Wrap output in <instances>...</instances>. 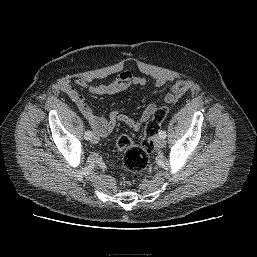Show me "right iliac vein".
I'll use <instances>...</instances> for the list:
<instances>
[{"instance_id": "1", "label": "right iliac vein", "mask_w": 257, "mask_h": 257, "mask_svg": "<svg viewBox=\"0 0 257 257\" xmlns=\"http://www.w3.org/2000/svg\"><path fill=\"white\" fill-rule=\"evenodd\" d=\"M98 142H99V138H98L97 136L93 135V136L91 137V143L97 144Z\"/></svg>"}]
</instances>
